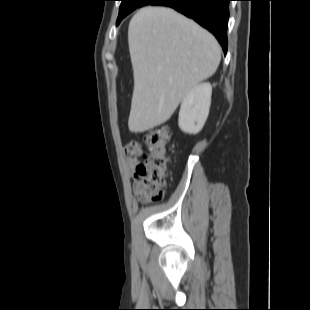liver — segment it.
I'll list each match as a JSON object with an SVG mask.
<instances>
[{
    "label": "liver",
    "instance_id": "1",
    "mask_svg": "<svg viewBox=\"0 0 310 310\" xmlns=\"http://www.w3.org/2000/svg\"><path fill=\"white\" fill-rule=\"evenodd\" d=\"M128 44L134 73L128 127L134 133L168 121L221 60V48L211 33L165 7L141 8L130 20Z\"/></svg>",
    "mask_w": 310,
    "mask_h": 310
}]
</instances>
